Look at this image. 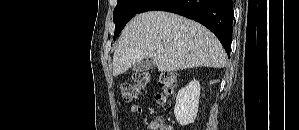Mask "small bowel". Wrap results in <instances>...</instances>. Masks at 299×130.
Segmentation results:
<instances>
[{"mask_svg": "<svg viewBox=\"0 0 299 130\" xmlns=\"http://www.w3.org/2000/svg\"><path fill=\"white\" fill-rule=\"evenodd\" d=\"M130 111L133 114H141L143 110L141 106L134 104L131 106Z\"/></svg>", "mask_w": 299, "mask_h": 130, "instance_id": "c3829d8e", "label": "small bowel"}]
</instances>
